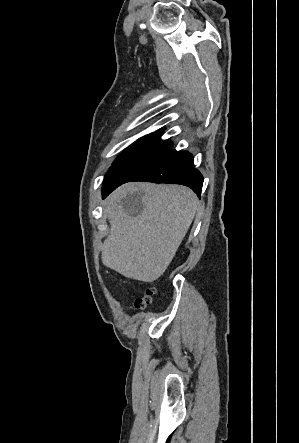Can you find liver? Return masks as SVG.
<instances>
[{
	"instance_id": "6515ba94",
	"label": "liver",
	"mask_w": 299,
	"mask_h": 443,
	"mask_svg": "<svg viewBox=\"0 0 299 443\" xmlns=\"http://www.w3.org/2000/svg\"><path fill=\"white\" fill-rule=\"evenodd\" d=\"M197 197L178 185L135 183L107 202L110 232L103 264L126 278L152 282L174 258L197 210Z\"/></svg>"
}]
</instances>
